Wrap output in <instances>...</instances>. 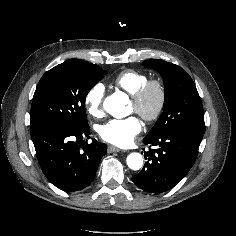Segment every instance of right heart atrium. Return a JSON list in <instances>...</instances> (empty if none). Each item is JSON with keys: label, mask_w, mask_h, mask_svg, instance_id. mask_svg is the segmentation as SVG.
<instances>
[{"label": "right heart atrium", "mask_w": 236, "mask_h": 236, "mask_svg": "<svg viewBox=\"0 0 236 236\" xmlns=\"http://www.w3.org/2000/svg\"><path fill=\"white\" fill-rule=\"evenodd\" d=\"M105 88L98 83L92 86L86 93L84 104L87 112L93 117H100L103 114V100Z\"/></svg>", "instance_id": "obj_1"}]
</instances>
